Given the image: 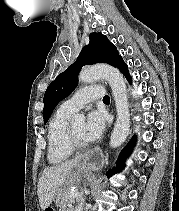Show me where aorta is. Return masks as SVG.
<instances>
[{"instance_id": "obj_1", "label": "aorta", "mask_w": 179, "mask_h": 211, "mask_svg": "<svg viewBox=\"0 0 179 211\" xmlns=\"http://www.w3.org/2000/svg\"><path fill=\"white\" fill-rule=\"evenodd\" d=\"M101 79L108 81L115 100L117 119L110 137V146L117 148L126 140L130 129V113L126 84L120 71L106 64L86 68L79 74V81L83 83H92ZM75 119L78 121L84 120L81 115H77ZM84 201L85 199L81 198L75 211H82Z\"/></svg>"}]
</instances>
